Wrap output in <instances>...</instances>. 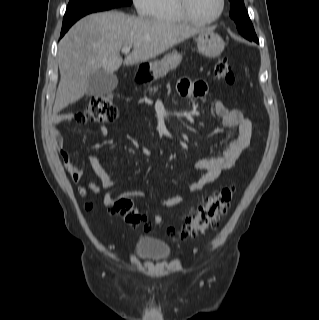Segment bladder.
<instances>
[{
	"instance_id": "bladder-1",
	"label": "bladder",
	"mask_w": 319,
	"mask_h": 320,
	"mask_svg": "<svg viewBox=\"0 0 319 320\" xmlns=\"http://www.w3.org/2000/svg\"><path fill=\"white\" fill-rule=\"evenodd\" d=\"M133 253L142 260H164L171 255L172 249L170 245L164 241L139 236L136 239Z\"/></svg>"
}]
</instances>
